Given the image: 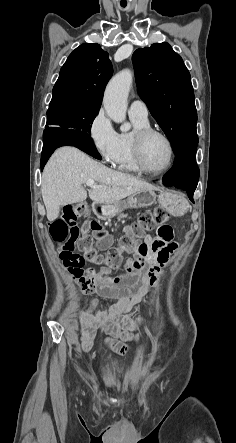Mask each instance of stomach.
Listing matches in <instances>:
<instances>
[{
	"label": "stomach",
	"mask_w": 236,
	"mask_h": 443,
	"mask_svg": "<svg viewBox=\"0 0 236 443\" xmlns=\"http://www.w3.org/2000/svg\"><path fill=\"white\" fill-rule=\"evenodd\" d=\"M156 194L153 190H143L132 194L126 200H120L112 204H97L96 211L103 218H112L125 209L143 208L156 202ZM159 202L173 215H182L187 210L188 203L184 197L174 192H162Z\"/></svg>",
	"instance_id": "1"
}]
</instances>
